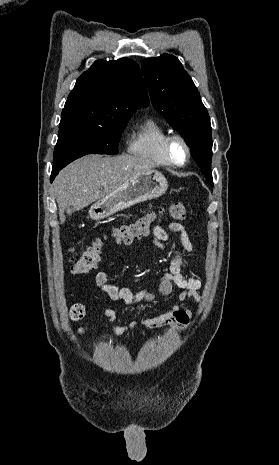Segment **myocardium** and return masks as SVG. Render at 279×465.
Instances as JSON below:
<instances>
[{
    "label": "myocardium",
    "mask_w": 279,
    "mask_h": 465,
    "mask_svg": "<svg viewBox=\"0 0 279 465\" xmlns=\"http://www.w3.org/2000/svg\"><path fill=\"white\" fill-rule=\"evenodd\" d=\"M176 142H179L184 147V150H185V157H184L182 162L176 161L175 158L173 157V154H172V147H173L174 143H176ZM163 148H164V153H165L168 161L170 162L171 165H174V166H183V165H185L188 162V160L190 158V155H191V150H190V146H189L188 142L186 141V139L182 135L177 134V133L169 134L167 136V138L164 141Z\"/></svg>",
    "instance_id": "1"
}]
</instances>
